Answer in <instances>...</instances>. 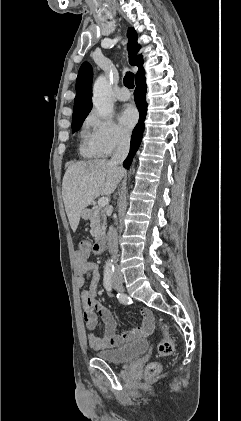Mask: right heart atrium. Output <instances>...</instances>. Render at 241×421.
<instances>
[{"label":"right heart atrium","instance_id":"right-heart-atrium-1","mask_svg":"<svg viewBox=\"0 0 241 421\" xmlns=\"http://www.w3.org/2000/svg\"><path fill=\"white\" fill-rule=\"evenodd\" d=\"M86 137L92 154L108 157L129 144V134L111 118L91 111L85 119Z\"/></svg>","mask_w":241,"mask_h":421}]
</instances>
